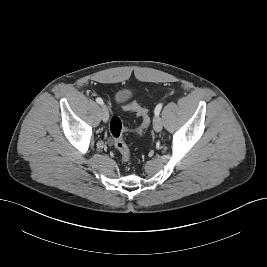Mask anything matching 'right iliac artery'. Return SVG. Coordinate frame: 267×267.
I'll list each match as a JSON object with an SVG mask.
<instances>
[{"label": "right iliac artery", "instance_id": "obj_1", "mask_svg": "<svg viewBox=\"0 0 267 267\" xmlns=\"http://www.w3.org/2000/svg\"><path fill=\"white\" fill-rule=\"evenodd\" d=\"M96 102L100 105L103 104V100L100 97L96 98Z\"/></svg>", "mask_w": 267, "mask_h": 267}]
</instances>
